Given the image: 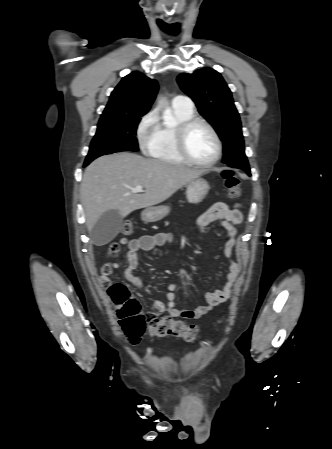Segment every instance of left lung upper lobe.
<instances>
[{
  "label": "left lung upper lobe",
  "instance_id": "1",
  "mask_svg": "<svg viewBox=\"0 0 332 449\" xmlns=\"http://www.w3.org/2000/svg\"><path fill=\"white\" fill-rule=\"evenodd\" d=\"M177 82L196 103L199 113L214 127L223 142V163L250 175L239 114L224 79L214 69L182 73Z\"/></svg>",
  "mask_w": 332,
  "mask_h": 449
}]
</instances>
